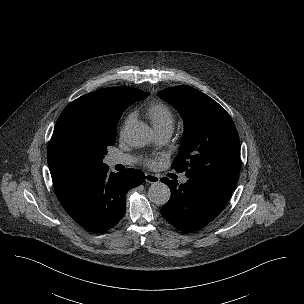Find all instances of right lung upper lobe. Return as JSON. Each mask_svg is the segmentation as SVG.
I'll use <instances>...</instances> for the list:
<instances>
[{
    "instance_id": "right-lung-upper-lobe-1",
    "label": "right lung upper lobe",
    "mask_w": 304,
    "mask_h": 304,
    "mask_svg": "<svg viewBox=\"0 0 304 304\" xmlns=\"http://www.w3.org/2000/svg\"><path fill=\"white\" fill-rule=\"evenodd\" d=\"M143 93L146 94L131 87L99 89L79 97L63 110L47 152L53 185L60 201L72 194L97 169L106 165L83 146L79 138L81 131L98 127L129 98L139 97Z\"/></svg>"
}]
</instances>
